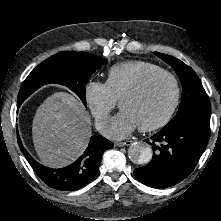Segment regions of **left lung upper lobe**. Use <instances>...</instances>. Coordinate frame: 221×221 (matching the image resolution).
<instances>
[{"instance_id": "1", "label": "left lung upper lobe", "mask_w": 221, "mask_h": 221, "mask_svg": "<svg viewBox=\"0 0 221 221\" xmlns=\"http://www.w3.org/2000/svg\"><path fill=\"white\" fill-rule=\"evenodd\" d=\"M154 53L174 67L183 88L179 110L162 130L174 129L188 121L210 124L211 107L209 98L193 69L177 58L158 52Z\"/></svg>"}]
</instances>
